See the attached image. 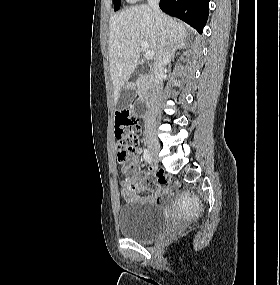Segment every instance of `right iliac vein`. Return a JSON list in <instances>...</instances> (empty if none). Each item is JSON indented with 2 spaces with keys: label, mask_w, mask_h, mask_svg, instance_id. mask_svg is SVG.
Here are the masks:
<instances>
[{
  "label": "right iliac vein",
  "mask_w": 280,
  "mask_h": 285,
  "mask_svg": "<svg viewBox=\"0 0 280 285\" xmlns=\"http://www.w3.org/2000/svg\"><path fill=\"white\" fill-rule=\"evenodd\" d=\"M146 141L148 144L150 156H151L152 160L156 161L158 159V152L160 149L158 140L154 137V135L152 133H147L146 134Z\"/></svg>",
  "instance_id": "obj_1"
}]
</instances>
